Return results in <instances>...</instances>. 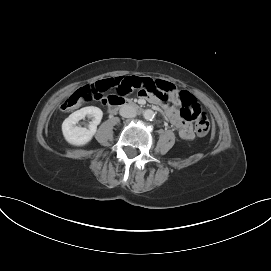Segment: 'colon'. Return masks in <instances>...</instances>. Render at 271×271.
<instances>
[{
    "instance_id": "colon-1",
    "label": "colon",
    "mask_w": 271,
    "mask_h": 271,
    "mask_svg": "<svg viewBox=\"0 0 271 271\" xmlns=\"http://www.w3.org/2000/svg\"><path fill=\"white\" fill-rule=\"evenodd\" d=\"M158 89H163L158 85ZM106 91L104 88L96 91L89 86H85L73 92L61 105V109L65 111L73 110L81 105L83 102L91 99H97ZM126 95V94H125ZM117 95L108 97L110 100ZM179 104L181 105L180 115L185 121H194L195 130L198 135L204 136L210 130V121L205 112H203L196 100V98L186 91H181L178 94Z\"/></svg>"
}]
</instances>
